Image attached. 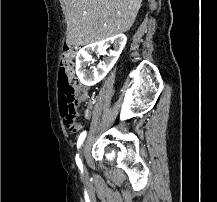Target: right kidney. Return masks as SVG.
<instances>
[{
    "label": "right kidney",
    "instance_id": "obj_1",
    "mask_svg": "<svg viewBox=\"0 0 217 202\" xmlns=\"http://www.w3.org/2000/svg\"><path fill=\"white\" fill-rule=\"evenodd\" d=\"M127 42L126 36L124 34H118V36H113V38H106V40H101V42H95V44H88L84 46L82 50H79L76 56V74L84 84V86H94L100 80L105 78L106 74L110 72L114 64H116L125 44ZM113 46V50H109L106 54L104 62L98 64V72H89L86 70L88 64L92 60V52H98V54H103L106 48Z\"/></svg>",
    "mask_w": 217,
    "mask_h": 202
}]
</instances>
